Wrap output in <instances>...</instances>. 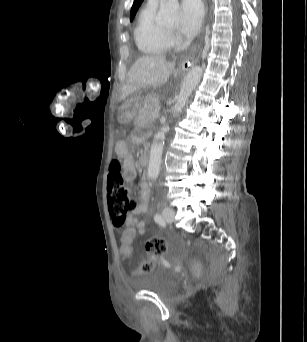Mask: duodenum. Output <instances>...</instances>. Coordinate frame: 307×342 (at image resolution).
<instances>
[{"instance_id":"1","label":"duodenum","mask_w":307,"mask_h":342,"mask_svg":"<svg viewBox=\"0 0 307 342\" xmlns=\"http://www.w3.org/2000/svg\"><path fill=\"white\" fill-rule=\"evenodd\" d=\"M149 156H148V154H145V155H142L141 157H140V162H141V164L143 165V166H146V165H148L149 164Z\"/></svg>"}]
</instances>
